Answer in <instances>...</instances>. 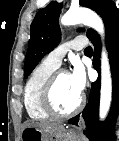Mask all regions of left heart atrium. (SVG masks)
Segmentation results:
<instances>
[{
    "label": "left heart atrium",
    "mask_w": 119,
    "mask_h": 141,
    "mask_svg": "<svg viewBox=\"0 0 119 141\" xmlns=\"http://www.w3.org/2000/svg\"><path fill=\"white\" fill-rule=\"evenodd\" d=\"M69 77L75 91L81 96L86 84L85 72L83 67L80 64H75L73 71L71 72Z\"/></svg>",
    "instance_id": "obj_1"
}]
</instances>
